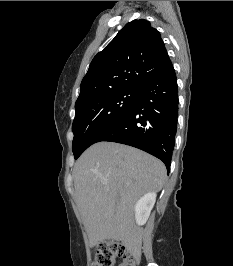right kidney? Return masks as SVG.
<instances>
[{"label":"right kidney","mask_w":233,"mask_h":266,"mask_svg":"<svg viewBox=\"0 0 233 266\" xmlns=\"http://www.w3.org/2000/svg\"><path fill=\"white\" fill-rule=\"evenodd\" d=\"M156 193L149 192L141 197L135 205V219L138 225L146 223L150 212L155 204Z\"/></svg>","instance_id":"1"}]
</instances>
